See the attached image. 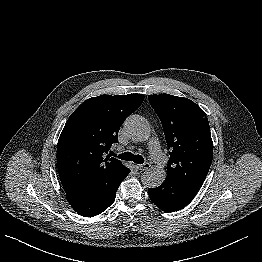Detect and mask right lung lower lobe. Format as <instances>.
<instances>
[{
	"mask_svg": "<svg viewBox=\"0 0 262 262\" xmlns=\"http://www.w3.org/2000/svg\"><path fill=\"white\" fill-rule=\"evenodd\" d=\"M120 183L109 189L92 190L76 194L66 193V198L78 214L85 217H93L113 204Z\"/></svg>",
	"mask_w": 262,
	"mask_h": 262,
	"instance_id": "1",
	"label": "right lung lower lobe"
}]
</instances>
